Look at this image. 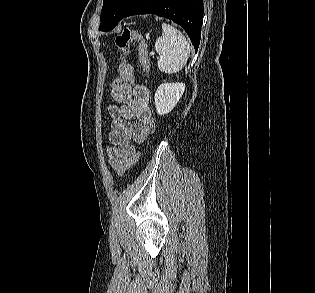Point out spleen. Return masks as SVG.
I'll return each mask as SVG.
<instances>
[{"mask_svg": "<svg viewBox=\"0 0 315 293\" xmlns=\"http://www.w3.org/2000/svg\"><path fill=\"white\" fill-rule=\"evenodd\" d=\"M155 50L159 55V70L172 74L180 71L187 63L190 44L178 29L163 23L162 36L156 40Z\"/></svg>", "mask_w": 315, "mask_h": 293, "instance_id": "1", "label": "spleen"}]
</instances>
